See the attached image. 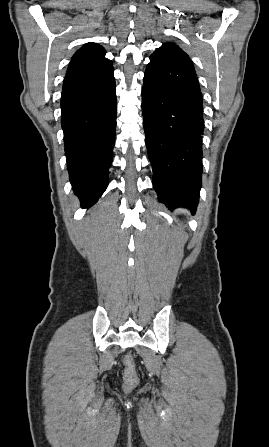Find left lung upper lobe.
<instances>
[{
    "label": "left lung upper lobe",
    "mask_w": 269,
    "mask_h": 447,
    "mask_svg": "<svg viewBox=\"0 0 269 447\" xmlns=\"http://www.w3.org/2000/svg\"><path fill=\"white\" fill-rule=\"evenodd\" d=\"M158 49H171V50H179L182 51L178 46H176L173 43H165L162 45V47L158 48ZM183 52V51H182Z\"/></svg>",
    "instance_id": "5c2ea615"
}]
</instances>
